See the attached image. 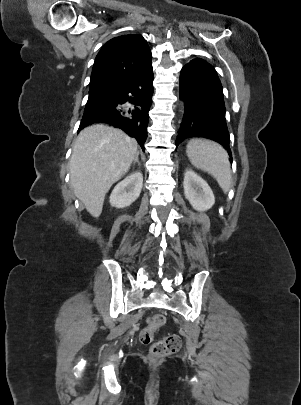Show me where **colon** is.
I'll return each mask as SVG.
<instances>
[{"mask_svg": "<svg viewBox=\"0 0 301 405\" xmlns=\"http://www.w3.org/2000/svg\"><path fill=\"white\" fill-rule=\"evenodd\" d=\"M165 323V317L155 314L148 319L147 326L140 332L139 340L143 345H151L150 359L158 361L168 355L177 353L181 348V339L176 334H167L153 343L155 331Z\"/></svg>", "mask_w": 301, "mask_h": 405, "instance_id": "colon-1", "label": "colon"}]
</instances>
